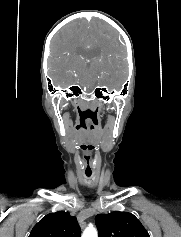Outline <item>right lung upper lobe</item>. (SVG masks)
<instances>
[{"label":"right lung upper lobe","mask_w":181,"mask_h":237,"mask_svg":"<svg viewBox=\"0 0 181 237\" xmlns=\"http://www.w3.org/2000/svg\"><path fill=\"white\" fill-rule=\"evenodd\" d=\"M29 237H80V227L75 216L58 211L43 217Z\"/></svg>","instance_id":"obj_1"}]
</instances>
